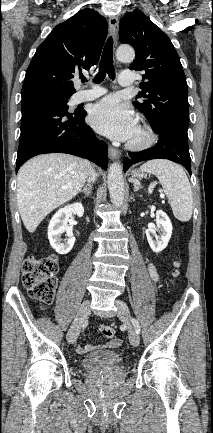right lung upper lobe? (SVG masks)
<instances>
[{"label":"right lung upper lobe","mask_w":213,"mask_h":433,"mask_svg":"<svg viewBox=\"0 0 213 433\" xmlns=\"http://www.w3.org/2000/svg\"><path fill=\"white\" fill-rule=\"evenodd\" d=\"M107 31L106 19L89 8L57 25L37 48L21 96L75 93L73 78L99 60Z\"/></svg>","instance_id":"cb5924a9"}]
</instances>
